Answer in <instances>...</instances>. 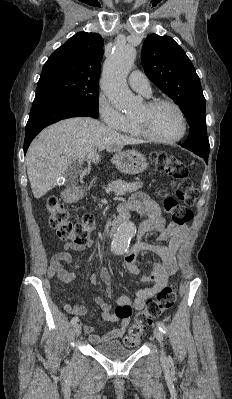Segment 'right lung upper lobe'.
I'll return each mask as SVG.
<instances>
[{
  "label": "right lung upper lobe",
  "instance_id": "1",
  "mask_svg": "<svg viewBox=\"0 0 232 399\" xmlns=\"http://www.w3.org/2000/svg\"><path fill=\"white\" fill-rule=\"evenodd\" d=\"M103 44L98 33L78 32L51 54L39 80L68 78L98 84Z\"/></svg>",
  "mask_w": 232,
  "mask_h": 399
}]
</instances>
